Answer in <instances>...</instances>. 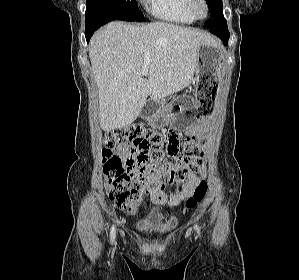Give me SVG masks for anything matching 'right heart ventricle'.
I'll use <instances>...</instances> for the list:
<instances>
[{"mask_svg":"<svg viewBox=\"0 0 299 280\" xmlns=\"http://www.w3.org/2000/svg\"><path fill=\"white\" fill-rule=\"evenodd\" d=\"M149 12L158 19L190 25L195 18L189 10V0H145Z\"/></svg>","mask_w":299,"mask_h":280,"instance_id":"obj_1","label":"right heart ventricle"}]
</instances>
